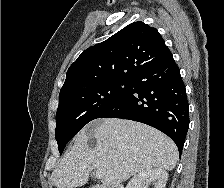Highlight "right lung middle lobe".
Here are the masks:
<instances>
[{"mask_svg":"<svg viewBox=\"0 0 224 188\" xmlns=\"http://www.w3.org/2000/svg\"><path fill=\"white\" fill-rule=\"evenodd\" d=\"M130 85V80H112L60 91L55 130L60 154L83 126L120 103Z\"/></svg>","mask_w":224,"mask_h":188,"instance_id":"obj_1","label":"right lung middle lobe"}]
</instances>
